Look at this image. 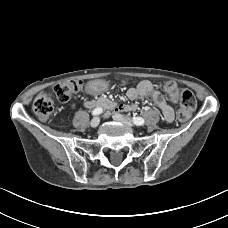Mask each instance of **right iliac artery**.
<instances>
[{
	"mask_svg": "<svg viewBox=\"0 0 228 228\" xmlns=\"http://www.w3.org/2000/svg\"><path fill=\"white\" fill-rule=\"evenodd\" d=\"M102 111H103L102 108L98 107L92 111V115H94V116L99 115L102 113Z\"/></svg>",
	"mask_w": 228,
	"mask_h": 228,
	"instance_id": "1",
	"label": "right iliac artery"
}]
</instances>
